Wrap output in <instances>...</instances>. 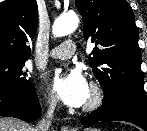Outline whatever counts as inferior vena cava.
Listing matches in <instances>:
<instances>
[{
  "label": "inferior vena cava",
  "instance_id": "1",
  "mask_svg": "<svg viewBox=\"0 0 147 131\" xmlns=\"http://www.w3.org/2000/svg\"><path fill=\"white\" fill-rule=\"evenodd\" d=\"M55 100L50 103L47 113L43 116L42 120L35 127V131H49L51 120L53 118V113L55 109Z\"/></svg>",
  "mask_w": 147,
  "mask_h": 131
}]
</instances>
